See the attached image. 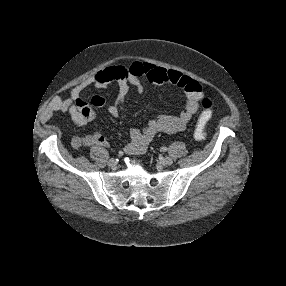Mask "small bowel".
<instances>
[{
  "instance_id": "obj_1",
  "label": "small bowel",
  "mask_w": 286,
  "mask_h": 286,
  "mask_svg": "<svg viewBox=\"0 0 286 286\" xmlns=\"http://www.w3.org/2000/svg\"><path fill=\"white\" fill-rule=\"evenodd\" d=\"M143 77L153 84H172L181 88L185 93V106L177 115L159 114L150 120L143 129H131L130 141L125 146L124 151L127 154H141L146 151L157 134L176 133L184 130L190 120L198 113L199 101L203 95L199 82L179 71L160 69L143 62H134L130 66H111L75 86L67 98L55 99L50 105L48 115L68 113L74 125H86L96 118V108L103 107L105 100L102 96L95 95L91 98L90 104H87L81 99L82 91L91 85L97 89H102L111 83H115L118 86V93L107 110L111 116L117 117L120 113L121 104L129 93L130 85L135 86L139 92L143 90L141 81ZM70 145L74 150H80L85 146H107L108 141L101 133L95 132L86 136L72 137Z\"/></svg>"
}]
</instances>
